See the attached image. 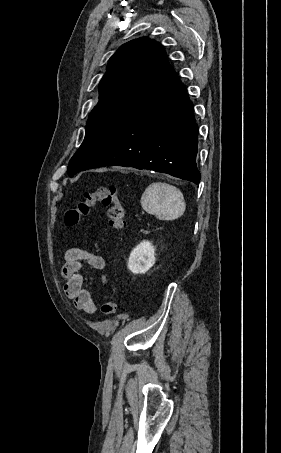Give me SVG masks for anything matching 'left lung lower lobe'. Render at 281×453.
Here are the masks:
<instances>
[{
	"mask_svg": "<svg viewBox=\"0 0 281 453\" xmlns=\"http://www.w3.org/2000/svg\"><path fill=\"white\" fill-rule=\"evenodd\" d=\"M197 135L193 105L174 69L166 62L114 136L79 171L102 166L134 167L198 184Z\"/></svg>",
	"mask_w": 281,
	"mask_h": 453,
	"instance_id": "0a47b994",
	"label": "left lung lower lobe"
}]
</instances>
